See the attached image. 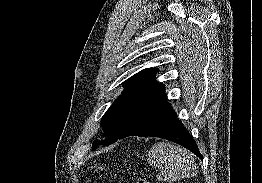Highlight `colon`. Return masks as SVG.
Returning a JSON list of instances; mask_svg holds the SVG:
<instances>
[{
  "label": "colon",
  "mask_w": 262,
  "mask_h": 183,
  "mask_svg": "<svg viewBox=\"0 0 262 183\" xmlns=\"http://www.w3.org/2000/svg\"><path fill=\"white\" fill-rule=\"evenodd\" d=\"M135 183H150L148 179L144 178V177H139L136 179Z\"/></svg>",
  "instance_id": "obj_1"
}]
</instances>
